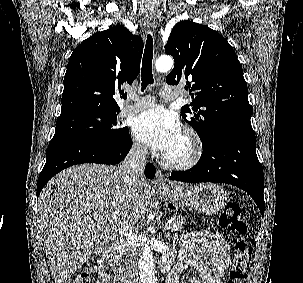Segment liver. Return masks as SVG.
<instances>
[{"mask_svg": "<svg viewBox=\"0 0 303 283\" xmlns=\"http://www.w3.org/2000/svg\"><path fill=\"white\" fill-rule=\"evenodd\" d=\"M118 166L81 164L52 178L38 199V222L55 283H66L90 257L111 249L125 222L146 210L151 186L138 177L131 189ZM181 190L186 184L169 182Z\"/></svg>", "mask_w": 303, "mask_h": 283, "instance_id": "6515ba94", "label": "liver"}]
</instances>
